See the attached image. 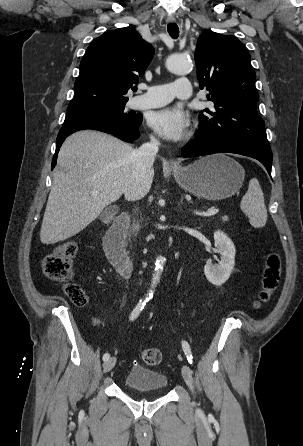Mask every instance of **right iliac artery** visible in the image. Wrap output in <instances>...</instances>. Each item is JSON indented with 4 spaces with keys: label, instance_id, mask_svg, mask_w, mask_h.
Instances as JSON below:
<instances>
[{
    "label": "right iliac artery",
    "instance_id": "right-iliac-artery-1",
    "mask_svg": "<svg viewBox=\"0 0 303 446\" xmlns=\"http://www.w3.org/2000/svg\"><path fill=\"white\" fill-rule=\"evenodd\" d=\"M146 304V301H140L137 306L133 309L131 315H130V320H134L138 317L139 313L143 310L144 306ZM110 358V354L109 353H105L103 355V361H107Z\"/></svg>",
    "mask_w": 303,
    "mask_h": 446
}]
</instances>
